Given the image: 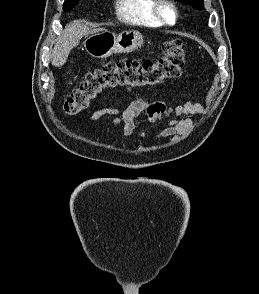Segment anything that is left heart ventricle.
<instances>
[{
    "label": "left heart ventricle",
    "mask_w": 259,
    "mask_h": 294,
    "mask_svg": "<svg viewBox=\"0 0 259 294\" xmlns=\"http://www.w3.org/2000/svg\"><path fill=\"white\" fill-rule=\"evenodd\" d=\"M165 14H166L167 19L169 21H172V19H173L172 14L169 11H166Z\"/></svg>",
    "instance_id": "left-heart-ventricle-1"
}]
</instances>
